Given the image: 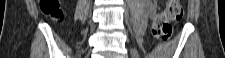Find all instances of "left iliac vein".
Here are the masks:
<instances>
[{"mask_svg": "<svg viewBox=\"0 0 225 58\" xmlns=\"http://www.w3.org/2000/svg\"><path fill=\"white\" fill-rule=\"evenodd\" d=\"M130 52H131L133 57H135V58L138 57V52L134 48H131Z\"/></svg>", "mask_w": 225, "mask_h": 58, "instance_id": "left-iliac-vein-1", "label": "left iliac vein"}]
</instances>
